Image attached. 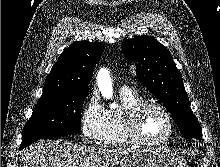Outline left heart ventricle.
Segmentation results:
<instances>
[{
	"label": "left heart ventricle",
	"mask_w": 220,
	"mask_h": 167,
	"mask_svg": "<svg viewBox=\"0 0 220 167\" xmlns=\"http://www.w3.org/2000/svg\"><path fill=\"white\" fill-rule=\"evenodd\" d=\"M141 132L149 140L162 139L169 133L168 121L159 110L151 108L142 118Z\"/></svg>",
	"instance_id": "obj_1"
}]
</instances>
